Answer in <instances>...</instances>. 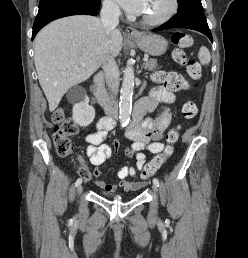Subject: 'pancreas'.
<instances>
[{"label":"pancreas","mask_w":248,"mask_h":258,"mask_svg":"<svg viewBox=\"0 0 248 258\" xmlns=\"http://www.w3.org/2000/svg\"><path fill=\"white\" fill-rule=\"evenodd\" d=\"M157 66H158V64H157L156 59H150L149 61L144 63L145 69H147L149 71L155 70Z\"/></svg>","instance_id":"cf45deb5"}]
</instances>
